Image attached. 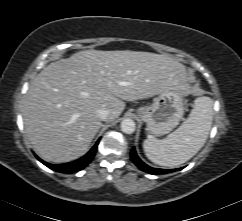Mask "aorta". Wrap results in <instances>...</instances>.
Segmentation results:
<instances>
[{
    "mask_svg": "<svg viewBox=\"0 0 242 221\" xmlns=\"http://www.w3.org/2000/svg\"><path fill=\"white\" fill-rule=\"evenodd\" d=\"M120 127H121V131L126 134H132L136 129L135 122L129 118L124 119L121 122Z\"/></svg>",
    "mask_w": 242,
    "mask_h": 221,
    "instance_id": "762f6f07",
    "label": "aorta"
}]
</instances>
